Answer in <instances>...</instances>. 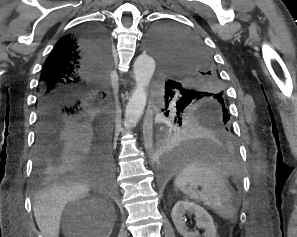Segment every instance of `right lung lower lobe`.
Instances as JSON below:
<instances>
[{
	"label": "right lung lower lobe",
	"mask_w": 297,
	"mask_h": 237,
	"mask_svg": "<svg viewBox=\"0 0 297 237\" xmlns=\"http://www.w3.org/2000/svg\"><path fill=\"white\" fill-rule=\"evenodd\" d=\"M81 43L86 66L100 74L110 63V39L100 25L84 27ZM102 88L67 101L58 95L40 96L37 111L34 176L44 181L73 173L111 176L113 157L104 123Z\"/></svg>",
	"instance_id": "98d812e1"
}]
</instances>
